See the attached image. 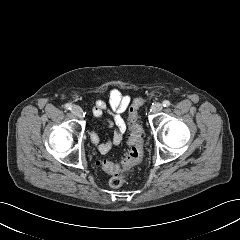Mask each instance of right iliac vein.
<instances>
[{"instance_id": "right-iliac-vein-1", "label": "right iliac vein", "mask_w": 240, "mask_h": 240, "mask_svg": "<svg viewBox=\"0 0 240 240\" xmlns=\"http://www.w3.org/2000/svg\"><path fill=\"white\" fill-rule=\"evenodd\" d=\"M72 113L79 118H82V116H83V110L79 106H73Z\"/></svg>"}]
</instances>
